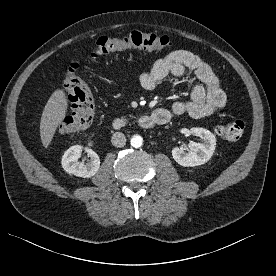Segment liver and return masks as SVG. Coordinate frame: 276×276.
Instances as JSON below:
<instances>
[{
	"label": "liver",
	"mask_w": 276,
	"mask_h": 276,
	"mask_svg": "<svg viewBox=\"0 0 276 276\" xmlns=\"http://www.w3.org/2000/svg\"><path fill=\"white\" fill-rule=\"evenodd\" d=\"M68 101L62 89H56L47 101L40 121V137L44 148H48L53 140L59 124L64 119Z\"/></svg>",
	"instance_id": "obj_1"
}]
</instances>
